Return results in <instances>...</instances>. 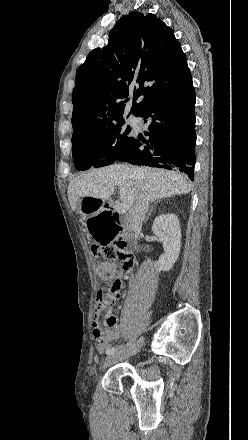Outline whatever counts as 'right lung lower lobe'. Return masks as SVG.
I'll list each match as a JSON object with an SVG mask.
<instances>
[{"instance_id": "right-lung-lower-lobe-1", "label": "right lung lower lobe", "mask_w": 248, "mask_h": 440, "mask_svg": "<svg viewBox=\"0 0 248 440\" xmlns=\"http://www.w3.org/2000/svg\"><path fill=\"white\" fill-rule=\"evenodd\" d=\"M195 90L192 79L182 87L145 102L134 114L144 118L145 137H131L118 161L177 169L194 178Z\"/></svg>"}]
</instances>
